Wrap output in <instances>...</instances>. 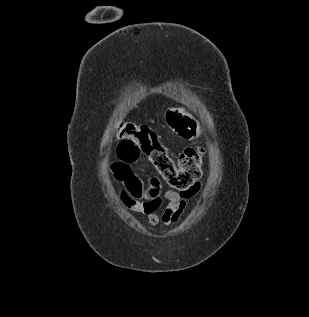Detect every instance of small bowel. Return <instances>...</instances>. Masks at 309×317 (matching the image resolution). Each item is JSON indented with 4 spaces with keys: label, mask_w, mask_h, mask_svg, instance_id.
I'll return each instance as SVG.
<instances>
[{
    "label": "small bowel",
    "mask_w": 309,
    "mask_h": 317,
    "mask_svg": "<svg viewBox=\"0 0 309 317\" xmlns=\"http://www.w3.org/2000/svg\"><path fill=\"white\" fill-rule=\"evenodd\" d=\"M128 152V147L121 150L118 148V158L110 166L114 178L123 185L119 193L120 202L128 209L145 215L149 226H170L177 223L188 200L200 191L201 184L197 182L186 192H163L157 177L152 176L147 184L141 179L134 169L136 162L124 157Z\"/></svg>",
    "instance_id": "c3829d8e"
}]
</instances>
